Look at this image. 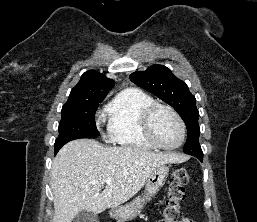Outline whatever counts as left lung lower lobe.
<instances>
[{"label": "left lung lower lobe", "mask_w": 257, "mask_h": 222, "mask_svg": "<svg viewBox=\"0 0 257 222\" xmlns=\"http://www.w3.org/2000/svg\"><path fill=\"white\" fill-rule=\"evenodd\" d=\"M196 158H198L201 162L203 161V156H195Z\"/></svg>", "instance_id": "1"}]
</instances>
